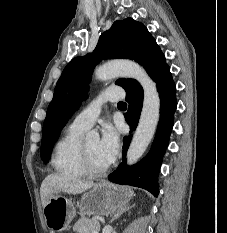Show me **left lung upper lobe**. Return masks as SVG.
I'll list each match as a JSON object with an SVG mask.
<instances>
[{
  "instance_id": "obj_1",
  "label": "left lung upper lobe",
  "mask_w": 227,
  "mask_h": 233,
  "mask_svg": "<svg viewBox=\"0 0 227 233\" xmlns=\"http://www.w3.org/2000/svg\"><path fill=\"white\" fill-rule=\"evenodd\" d=\"M128 58L142 65L153 80L168 66L164 54L147 28L132 18L115 21L104 32L93 53L72 59L59 78L47 109L42 131L41 158L47 162L54 143L81 102L88 97V83L102 59ZM126 92L142 89L134 79H118Z\"/></svg>"
}]
</instances>
